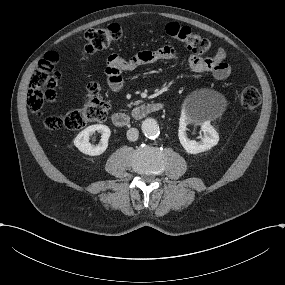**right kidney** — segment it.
I'll use <instances>...</instances> for the list:
<instances>
[{"label":"right kidney","instance_id":"ca27d5eb","mask_svg":"<svg viewBox=\"0 0 285 285\" xmlns=\"http://www.w3.org/2000/svg\"><path fill=\"white\" fill-rule=\"evenodd\" d=\"M95 131L102 134L101 142L97 146H93L89 142V136ZM110 135L111 131L108 126L101 124L91 125L79 132L73 143L81 153L88 156H99L107 150Z\"/></svg>","mask_w":285,"mask_h":285}]
</instances>
